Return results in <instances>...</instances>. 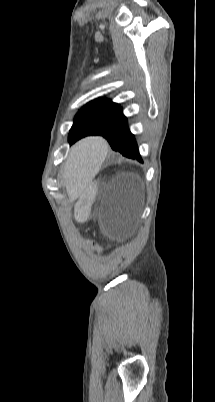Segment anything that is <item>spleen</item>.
<instances>
[{"label": "spleen", "mask_w": 215, "mask_h": 402, "mask_svg": "<svg viewBox=\"0 0 215 402\" xmlns=\"http://www.w3.org/2000/svg\"><path fill=\"white\" fill-rule=\"evenodd\" d=\"M105 155L106 150L103 138H91L90 133H81L79 143L74 152L75 165H71L70 169L57 170L58 178L72 177L70 180H64V183L68 185L62 186V191L72 193L75 189L82 188V182H93L94 175L105 159Z\"/></svg>", "instance_id": "3e777b00"}]
</instances>
